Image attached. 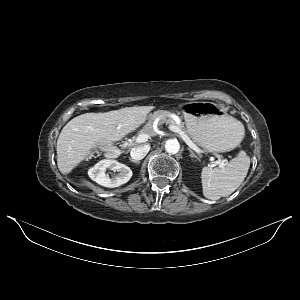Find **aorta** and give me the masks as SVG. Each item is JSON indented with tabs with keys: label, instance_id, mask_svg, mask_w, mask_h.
I'll return each instance as SVG.
<instances>
[{
	"label": "aorta",
	"instance_id": "762f6f07",
	"mask_svg": "<svg viewBox=\"0 0 300 300\" xmlns=\"http://www.w3.org/2000/svg\"><path fill=\"white\" fill-rule=\"evenodd\" d=\"M165 150L169 154H177L180 150V144L177 139H169L165 143Z\"/></svg>",
	"mask_w": 300,
	"mask_h": 300
}]
</instances>
